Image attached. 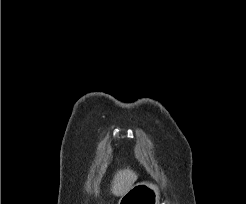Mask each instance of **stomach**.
I'll return each mask as SVG.
<instances>
[{"label":"stomach","instance_id":"1","mask_svg":"<svg viewBox=\"0 0 246 204\" xmlns=\"http://www.w3.org/2000/svg\"><path fill=\"white\" fill-rule=\"evenodd\" d=\"M159 201L158 187L149 182H140L125 193L118 204H159Z\"/></svg>","mask_w":246,"mask_h":204}]
</instances>
